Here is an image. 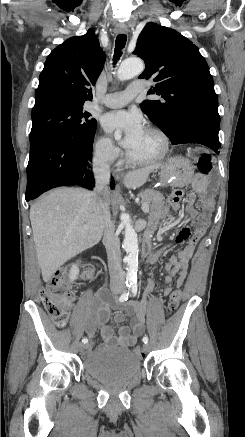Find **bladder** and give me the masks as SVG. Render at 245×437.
Wrapping results in <instances>:
<instances>
[{
	"label": "bladder",
	"instance_id": "bladder-1",
	"mask_svg": "<svg viewBox=\"0 0 245 437\" xmlns=\"http://www.w3.org/2000/svg\"><path fill=\"white\" fill-rule=\"evenodd\" d=\"M139 357L126 348H98L83 360L84 371L107 385H122L140 371Z\"/></svg>",
	"mask_w": 245,
	"mask_h": 437
}]
</instances>
